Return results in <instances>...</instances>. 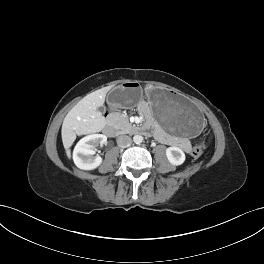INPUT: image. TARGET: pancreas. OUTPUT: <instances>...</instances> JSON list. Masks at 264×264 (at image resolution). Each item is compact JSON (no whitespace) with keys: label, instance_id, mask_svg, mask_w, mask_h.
I'll list each match as a JSON object with an SVG mask.
<instances>
[{"label":"pancreas","instance_id":"pancreas-1","mask_svg":"<svg viewBox=\"0 0 264 264\" xmlns=\"http://www.w3.org/2000/svg\"><path fill=\"white\" fill-rule=\"evenodd\" d=\"M111 118L113 120L114 126L123 132H126L132 128L127 115L123 113L115 112L111 115Z\"/></svg>","mask_w":264,"mask_h":264}]
</instances>
